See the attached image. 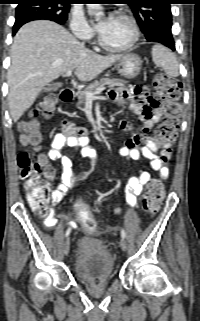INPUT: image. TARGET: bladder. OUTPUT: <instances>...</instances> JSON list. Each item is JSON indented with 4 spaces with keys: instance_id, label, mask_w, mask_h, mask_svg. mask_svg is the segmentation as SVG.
Here are the masks:
<instances>
[{
    "instance_id": "31cf9c89",
    "label": "bladder",
    "mask_w": 200,
    "mask_h": 321,
    "mask_svg": "<svg viewBox=\"0 0 200 321\" xmlns=\"http://www.w3.org/2000/svg\"><path fill=\"white\" fill-rule=\"evenodd\" d=\"M74 269L83 282L104 281L112 277L114 259L102 242L83 236L77 241Z\"/></svg>"
}]
</instances>
